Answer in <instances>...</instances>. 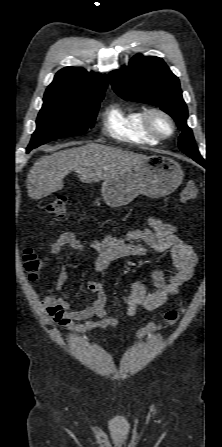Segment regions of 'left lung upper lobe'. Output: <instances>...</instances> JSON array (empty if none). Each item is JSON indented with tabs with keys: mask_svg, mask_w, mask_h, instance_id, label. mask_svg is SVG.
<instances>
[{
	"mask_svg": "<svg viewBox=\"0 0 222 447\" xmlns=\"http://www.w3.org/2000/svg\"><path fill=\"white\" fill-rule=\"evenodd\" d=\"M109 77L114 91L123 99L157 106L172 116L182 131L180 150L191 158H202L187 126V106L179 79L161 58L136 55L128 67L111 71Z\"/></svg>",
	"mask_w": 222,
	"mask_h": 447,
	"instance_id": "5c2ea615",
	"label": "left lung upper lobe"
}]
</instances>
